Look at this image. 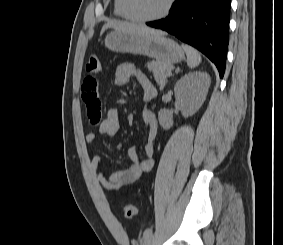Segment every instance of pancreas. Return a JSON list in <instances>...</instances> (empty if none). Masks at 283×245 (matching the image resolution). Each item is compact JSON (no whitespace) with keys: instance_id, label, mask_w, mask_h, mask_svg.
Instances as JSON below:
<instances>
[{"instance_id":"1","label":"pancreas","mask_w":283,"mask_h":245,"mask_svg":"<svg viewBox=\"0 0 283 245\" xmlns=\"http://www.w3.org/2000/svg\"><path fill=\"white\" fill-rule=\"evenodd\" d=\"M147 67L149 71L153 72L156 83L163 88L172 66L161 61H149Z\"/></svg>"}]
</instances>
